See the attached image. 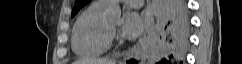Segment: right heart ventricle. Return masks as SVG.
Listing matches in <instances>:
<instances>
[{
	"mask_svg": "<svg viewBox=\"0 0 242 64\" xmlns=\"http://www.w3.org/2000/svg\"><path fill=\"white\" fill-rule=\"evenodd\" d=\"M105 6L91 4L76 19L71 33V48L82 58H95L109 47L111 31L104 19Z\"/></svg>",
	"mask_w": 242,
	"mask_h": 64,
	"instance_id": "right-heart-ventricle-1",
	"label": "right heart ventricle"
}]
</instances>
